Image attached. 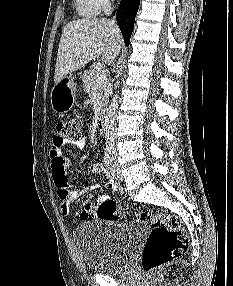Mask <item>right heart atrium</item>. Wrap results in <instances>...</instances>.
<instances>
[{
	"mask_svg": "<svg viewBox=\"0 0 233 286\" xmlns=\"http://www.w3.org/2000/svg\"><path fill=\"white\" fill-rule=\"evenodd\" d=\"M103 9H107L110 6V0H100Z\"/></svg>",
	"mask_w": 233,
	"mask_h": 286,
	"instance_id": "1",
	"label": "right heart atrium"
}]
</instances>
